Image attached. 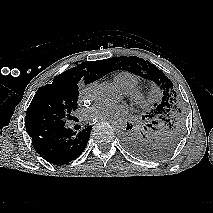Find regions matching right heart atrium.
Masks as SVG:
<instances>
[{"label": "right heart atrium", "mask_w": 213, "mask_h": 213, "mask_svg": "<svg viewBox=\"0 0 213 213\" xmlns=\"http://www.w3.org/2000/svg\"><path fill=\"white\" fill-rule=\"evenodd\" d=\"M95 83H89L83 85L79 91V98L83 101H90L93 98L94 90H95Z\"/></svg>", "instance_id": "obj_1"}]
</instances>
